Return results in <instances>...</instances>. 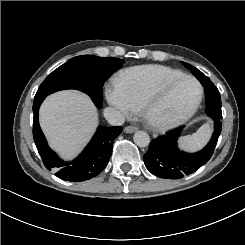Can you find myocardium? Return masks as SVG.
I'll list each match as a JSON object with an SVG mask.
<instances>
[{
  "mask_svg": "<svg viewBox=\"0 0 245 245\" xmlns=\"http://www.w3.org/2000/svg\"><path fill=\"white\" fill-rule=\"evenodd\" d=\"M188 80L193 82L197 87V96L193 105L178 116L161 115L157 111V104L154 102V96L164 87L173 85L176 82ZM203 97V88L200 82L189 75L178 77L163 78L155 81L145 92L141 101V108L146 122L154 129L163 130L177 126L190 118L199 107Z\"/></svg>",
  "mask_w": 245,
  "mask_h": 245,
  "instance_id": "1",
  "label": "myocardium"
}]
</instances>
